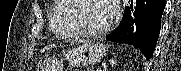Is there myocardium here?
I'll list each match as a JSON object with an SVG mask.
<instances>
[{"mask_svg": "<svg viewBox=\"0 0 181 71\" xmlns=\"http://www.w3.org/2000/svg\"><path fill=\"white\" fill-rule=\"evenodd\" d=\"M85 0H70L71 8H72V15H71V21L72 26L77 31L79 36L85 37V38H98L101 37L108 32H110L115 24V19L111 18L110 21L106 26L99 30H90L87 29L81 22L79 18V11H80V3ZM108 2V1H107ZM109 4V2H108Z\"/></svg>", "mask_w": 181, "mask_h": 71, "instance_id": "myocardium-1", "label": "myocardium"}]
</instances>
